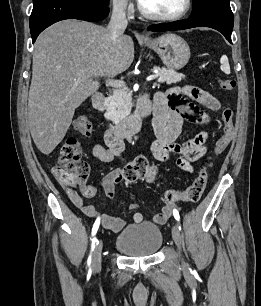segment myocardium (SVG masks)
Here are the masks:
<instances>
[{
  "mask_svg": "<svg viewBox=\"0 0 261 306\" xmlns=\"http://www.w3.org/2000/svg\"><path fill=\"white\" fill-rule=\"evenodd\" d=\"M191 6H192V0H185L183 8L178 13H175L172 15H162V14H157V13L148 11L147 9L143 7L140 1L138 3V9L144 17L151 19V20H157V21L179 20L183 18L189 12V10L191 9Z\"/></svg>",
  "mask_w": 261,
  "mask_h": 306,
  "instance_id": "obj_1",
  "label": "myocardium"
}]
</instances>
